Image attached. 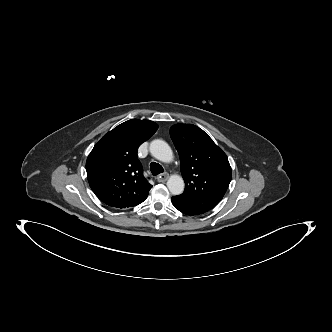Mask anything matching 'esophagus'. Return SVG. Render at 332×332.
<instances>
[{
    "mask_svg": "<svg viewBox=\"0 0 332 332\" xmlns=\"http://www.w3.org/2000/svg\"><path fill=\"white\" fill-rule=\"evenodd\" d=\"M169 177L168 173H162L157 177L158 182H165Z\"/></svg>",
    "mask_w": 332,
    "mask_h": 332,
    "instance_id": "obj_1",
    "label": "esophagus"
}]
</instances>
